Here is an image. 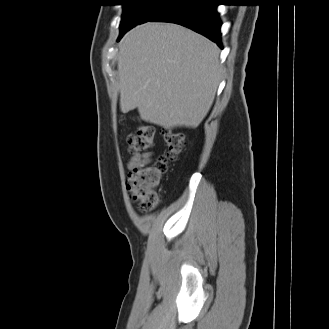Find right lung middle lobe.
<instances>
[{"mask_svg": "<svg viewBox=\"0 0 329 329\" xmlns=\"http://www.w3.org/2000/svg\"><path fill=\"white\" fill-rule=\"evenodd\" d=\"M124 10L119 39L131 28L149 21L160 10L176 0H121Z\"/></svg>", "mask_w": 329, "mask_h": 329, "instance_id": "1", "label": "right lung middle lobe"}]
</instances>
